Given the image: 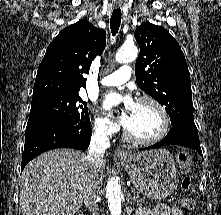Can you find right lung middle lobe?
<instances>
[{
	"instance_id": "right-lung-middle-lobe-1",
	"label": "right lung middle lobe",
	"mask_w": 221,
	"mask_h": 215,
	"mask_svg": "<svg viewBox=\"0 0 221 215\" xmlns=\"http://www.w3.org/2000/svg\"><path fill=\"white\" fill-rule=\"evenodd\" d=\"M89 123L87 103L78 93L56 94L32 102L26 130L43 126L78 129Z\"/></svg>"
}]
</instances>
